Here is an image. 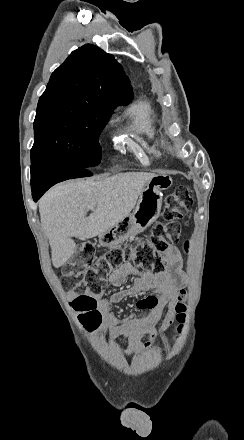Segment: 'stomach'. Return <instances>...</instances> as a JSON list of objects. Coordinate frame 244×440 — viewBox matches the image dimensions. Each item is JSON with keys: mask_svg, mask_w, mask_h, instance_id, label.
Returning <instances> with one entry per match:
<instances>
[{"mask_svg": "<svg viewBox=\"0 0 244 440\" xmlns=\"http://www.w3.org/2000/svg\"><path fill=\"white\" fill-rule=\"evenodd\" d=\"M171 186H173V180L169 174H156L154 178H151L145 184L132 214L98 236L100 246L115 248L128 240L130 236L144 232L148 226L156 222L162 208L163 190H169Z\"/></svg>", "mask_w": 244, "mask_h": 440, "instance_id": "obj_1", "label": "stomach"}]
</instances>
